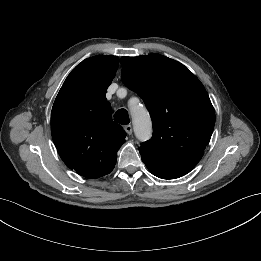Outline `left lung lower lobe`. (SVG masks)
Instances as JSON below:
<instances>
[{"instance_id": "left-lung-lower-lobe-1", "label": "left lung lower lobe", "mask_w": 261, "mask_h": 261, "mask_svg": "<svg viewBox=\"0 0 261 261\" xmlns=\"http://www.w3.org/2000/svg\"><path fill=\"white\" fill-rule=\"evenodd\" d=\"M148 170L154 174L155 176L162 178V179H175V178H179L185 174H181V173H172V172H165V171H161L158 170L156 168L147 166Z\"/></svg>"}]
</instances>
